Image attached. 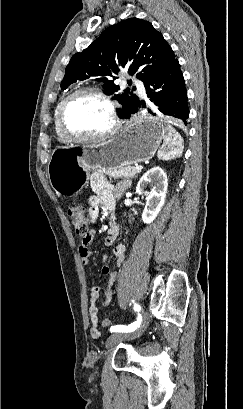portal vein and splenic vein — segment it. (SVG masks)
<instances>
[{
  "label": "portal vein and splenic vein",
  "mask_w": 243,
  "mask_h": 409,
  "mask_svg": "<svg viewBox=\"0 0 243 409\" xmlns=\"http://www.w3.org/2000/svg\"><path fill=\"white\" fill-rule=\"evenodd\" d=\"M135 169H136V170H142V169H143V166H141V165H136Z\"/></svg>",
  "instance_id": "obj_1"
}]
</instances>
